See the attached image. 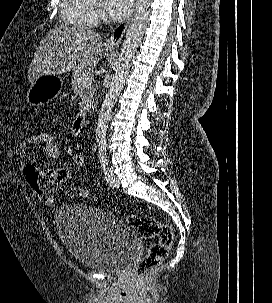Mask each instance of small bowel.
I'll list each match as a JSON object with an SVG mask.
<instances>
[{
  "label": "small bowel",
  "mask_w": 272,
  "mask_h": 303,
  "mask_svg": "<svg viewBox=\"0 0 272 303\" xmlns=\"http://www.w3.org/2000/svg\"><path fill=\"white\" fill-rule=\"evenodd\" d=\"M41 147L37 135H31L26 140L21 141L16 146V155L18 157V164L22 168H26L23 157L32 149ZM48 157L58 159L61 156L59 148L44 149ZM39 184L47 189L50 186L60 185L65 183L70 176V171L64 166H56L44 170H36Z\"/></svg>",
  "instance_id": "small-bowel-1"
}]
</instances>
